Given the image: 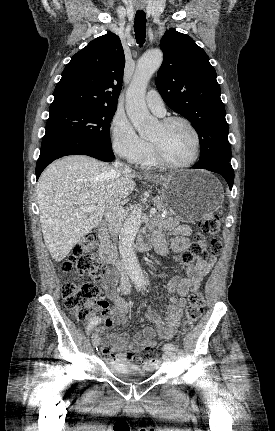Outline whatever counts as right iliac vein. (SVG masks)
<instances>
[{
    "label": "right iliac vein",
    "instance_id": "63e3f726",
    "mask_svg": "<svg viewBox=\"0 0 275 431\" xmlns=\"http://www.w3.org/2000/svg\"><path fill=\"white\" fill-rule=\"evenodd\" d=\"M92 344L95 348H97L100 344V338H99L98 334H96V333H94L92 335Z\"/></svg>",
    "mask_w": 275,
    "mask_h": 431
}]
</instances>
